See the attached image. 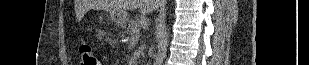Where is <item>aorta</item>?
Segmentation results:
<instances>
[{
    "instance_id": "762f6f07",
    "label": "aorta",
    "mask_w": 309,
    "mask_h": 65,
    "mask_svg": "<svg viewBox=\"0 0 309 65\" xmlns=\"http://www.w3.org/2000/svg\"><path fill=\"white\" fill-rule=\"evenodd\" d=\"M169 36L170 32L168 25L159 27L158 48L154 57V65H162L164 59L166 58L169 45Z\"/></svg>"
}]
</instances>
